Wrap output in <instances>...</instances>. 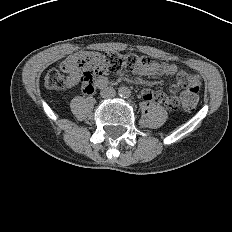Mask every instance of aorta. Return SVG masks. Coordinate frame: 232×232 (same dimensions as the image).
Returning a JSON list of instances; mask_svg holds the SVG:
<instances>
[{"instance_id":"762f6f07","label":"aorta","mask_w":232,"mask_h":232,"mask_svg":"<svg viewBox=\"0 0 232 232\" xmlns=\"http://www.w3.org/2000/svg\"><path fill=\"white\" fill-rule=\"evenodd\" d=\"M119 94H120L121 96L128 97V96L131 94V91H130V89L127 88V87H121V88L119 89Z\"/></svg>"}]
</instances>
